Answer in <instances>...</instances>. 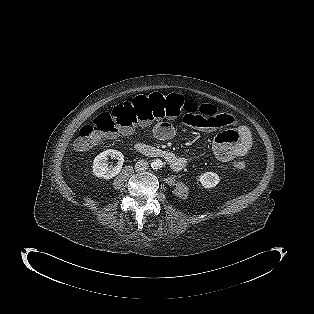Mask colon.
<instances>
[{
	"label": "colon",
	"mask_w": 314,
	"mask_h": 314,
	"mask_svg": "<svg viewBox=\"0 0 314 314\" xmlns=\"http://www.w3.org/2000/svg\"><path fill=\"white\" fill-rule=\"evenodd\" d=\"M198 107L204 108L208 115L214 112L209 105H199L178 94L139 95L116 106L111 112L100 113L92 123L82 126L74 147L79 152L88 151L98 146L105 137L130 132L138 125H147L159 119L178 118L184 112H192ZM232 166L245 169L247 164L242 159L234 158Z\"/></svg>",
	"instance_id": "colon-1"
}]
</instances>
